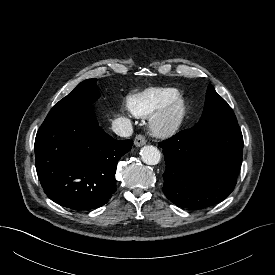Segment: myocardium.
Instances as JSON below:
<instances>
[{
	"label": "myocardium",
	"instance_id": "f54148a6",
	"mask_svg": "<svg viewBox=\"0 0 275 275\" xmlns=\"http://www.w3.org/2000/svg\"><path fill=\"white\" fill-rule=\"evenodd\" d=\"M188 111L187 101L177 98L153 115L150 122L152 132L162 137L176 133L184 125Z\"/></svg>",
	"mask_w": 275,
	"mask_h": 275
}]
</instances>
